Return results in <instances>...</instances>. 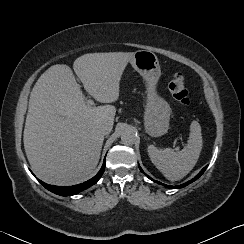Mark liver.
I'll use <instances>...</instances> for the list:
<instances>
[{
  "mask_svg": "<svg viewBox=\"0 0 244 244\" xmlns=\"http://www.w3.org/2000/svg\"><path fill=\"white\" fill-rule=\"evenodd\" d=\"M133 52L89 53L78 57L73 69L86 91L106 105H87L71 68H48L34 85L23 142L27 159L43 181L73 185L85 181L96 168L104 141L98 129L111 127L120 80Z\"/></svg>",
  "mask_w": 244,
  "mask_h": 244,
  "instance_id": "6515ba94",
  "label": "liver"
}]
</instances>
